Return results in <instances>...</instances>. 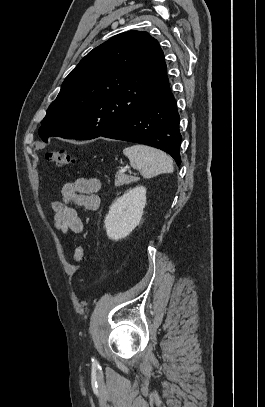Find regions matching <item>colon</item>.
Instances as JSON below:
<instances>
[{
	"mask_svg": "<svg viewBox=\"0 0 265 407\" xmlns=\"http://www.w3.org/2000/svg\"><path fill=\"white\" fill-rule=\"evenodd\" d=\"M47 160L57 166H66L70 164L76 163L75 157H73L69 152L65 149H54L50 150L46 154ZM85 258V249L83 245H79L76 247L73 260L77 264H81Z\"/></svg>",
	"mask_w": 265,
	"mask_h": 407,
	"instance_id": "colon-1",
	"label": "colon"
}]
</instances>
